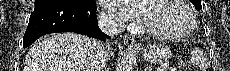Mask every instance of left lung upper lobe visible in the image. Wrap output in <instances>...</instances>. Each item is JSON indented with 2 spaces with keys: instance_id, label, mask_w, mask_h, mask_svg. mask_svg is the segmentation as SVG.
<instances>
[{
  "instance_id": "5c2ea615",
  "label": "left lung upper lobe",
  "mask_w": 230,
  "mask_h": 71,
  "mask_svg": "<svg viewBox=\"0 0 230 71\" xmlns=\"http://www.w3.org/2000/svg\"><path fill=\"white\" fill-rule=\"evenodd\" d=\"M191 3L194 4L195 8L197 10H201L202 6H201V0H190Z\"/></svg>"
}]
</instances>
